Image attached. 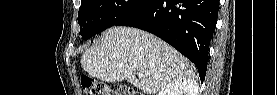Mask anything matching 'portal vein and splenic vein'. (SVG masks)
Instances as JSON below:
<instances>
[{
    "instance_id": "1",
    "label": "portal vein and splenic vein",
    "mask_w": 277,
    "mask_h": 95,
    "mask_svg": "<svg viewBox=\"0 0 277 95\" xmlns=\"http://www.w3.org/2000/svg\"><path fill=\"white\" fill-rule=\"evenodd\" d=\"M138 77H139V78H142V77H144V74L141 73V72H139V73H138Z\"/></svg>"
}]
</instances>
